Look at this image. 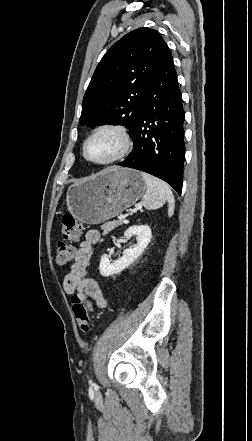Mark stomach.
<instances>
[{"mask_svg": "<svg viewBox=\"0 0 252 441\" xmlns=\"http://www.w3.org/2000/svg\"><path fill=\"white\" fill-rule=\"evenodd\" d=\"M145 191L141 172L110 167L71 185L66 194L67 210L83 223L100 224L134 205Z\"/></svg>", "mask_w": 252, "mask_h": 441, "instance_id": "stomach-1", "label": "stomach"}]
</instances>
